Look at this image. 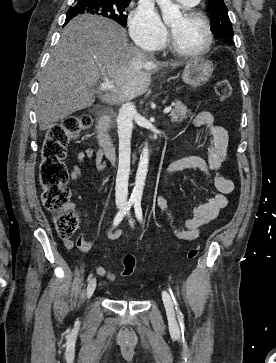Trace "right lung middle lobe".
Here are the masks:
<instances>
[{
  "label": "right lung middle lobe",
  "mask_w": 276,
  "mask_h": 363,
  "mask_svg": "<svg viewBox=\"0 0 276 363\" xmlns=\"http://www.w3.org/2000/svg\"><path fill=\"white\" fill-rule=\"evenodd\" d=\"M128 2L110 0H75V5L67 12V17L78 14H93L104 16L126 26L127 16L124 15Z\"/></svg>",
  "instance_id": "obj_1"
}]
</instances>
